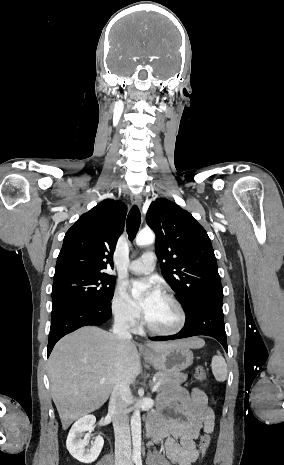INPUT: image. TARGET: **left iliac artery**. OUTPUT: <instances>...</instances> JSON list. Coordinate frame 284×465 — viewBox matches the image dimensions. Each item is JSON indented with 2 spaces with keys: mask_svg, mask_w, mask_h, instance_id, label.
Here are the masks:
<instances>
[{
  "mask_svg": "<svg viewBox=\"0 0 284 465\" xmlns=\"http://www.w3.org/2000/svg\"><path fill=\"white\" fill-rule=\"evenodd\" d=\"M135 463H136V465H142V460H141V459H137V460L135 461Z\"/></svg>",
  "mask_w": 284,
  "mask_h": 465,
  "instance_id": "obj_1",
  "label": "left iliac artery"
}]
</instances>
